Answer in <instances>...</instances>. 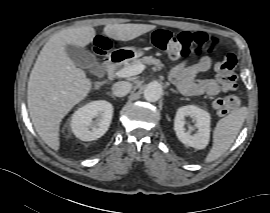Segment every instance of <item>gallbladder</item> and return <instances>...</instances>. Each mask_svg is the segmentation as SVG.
Returning a JSON list of instances; mask_svg holds the SVG:
<instances>
[{"instance_id": "obj_1", "label": "gallbladder", "mask_w": 270, "mask_h": 213, "mask_svg": "<svg viewBox=\"0 0 270 213\" xmlns=\"http://www.w3.org/2000/svg\"><path fill=\"white\" fill-rule=\"evenodd\" d=\"M65 51L76 66L87 69L95 75L102 73V66L97 61L95 55L88 50L74 45H66Z\"/></svg>"}]
</instances>
